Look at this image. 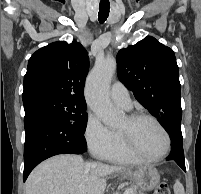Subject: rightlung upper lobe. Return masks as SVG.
Listing matches in <instances>:
<instances>
[{
	"instance_id": "obj_1",
	"label": "right lung upper lobe",
	"mask_w": 201,
	"mask_h": 194,
	"mask_svg": "<svg viewBox=\"0 0 201 194\" xmlns=\"http://www.w3.org/2000/svg\"><path fill=\"white\" fill-rule=\"evenodd\" d=\"M89 61L80 43H51L29 59L24 77L23 103L42 96L85 103L83 94Z\"/></svg>"
}]
</instances>
